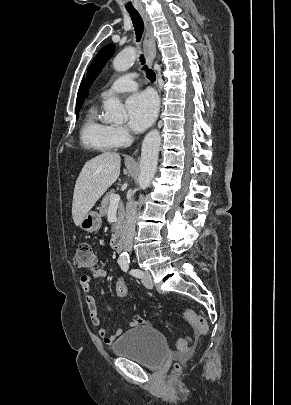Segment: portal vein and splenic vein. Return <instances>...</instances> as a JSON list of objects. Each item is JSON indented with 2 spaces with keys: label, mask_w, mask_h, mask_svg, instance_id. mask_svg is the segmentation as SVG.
Wrapping results in <instances>:
<instances>
[{
  "label": "portal vein and splenic vein",
  "mask_w": 291,
  "mask_h": 405,
  "mask_svg": "<svg viewBox=\"0 0 291 405\" xmlns=\"http://www.w3.org/2000/svg\"><path fill=\"white\" fill-rule=\"evenodd\" d=\"M120 202V196L118 194H113L110 198V206H117Z\"/></svg>",
  "instance_id": "18ae733b"
}]
</instances>
